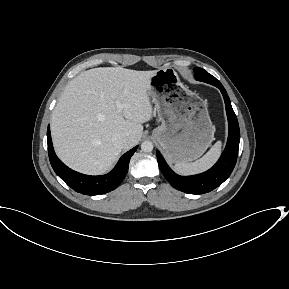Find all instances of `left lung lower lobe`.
I'll list each match as a JSON object with an SVG mask.
<instances>
[{
    "mask_svg": "<svg viewBox=\"0 0 289 289\" xmlns=\"http://www.w3.org/2000/svg\"><path fill=\"white\" fill-rule=\"evenodd\" d=\"M218 88L221 90L224 97L229 123L227 145L218 162L204 173L184 177L174 173L167 165L160 152L157 151L160 170L169 183L180 191L190 194L210 192L221 185L230 176L236 164L240 141L239 124L226 90L222 85L218 86Z\"/></svg>",
    "mask_w": 289,
    "mask_h": 289,
    "instance_id": "obj_1",
    "label": "left lung lower lobe"
}]
</instances>
